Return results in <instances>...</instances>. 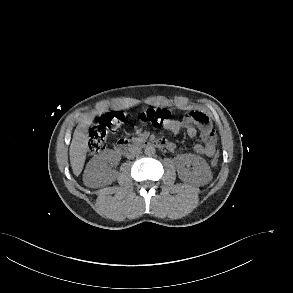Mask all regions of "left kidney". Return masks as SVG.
I'll use <instances>...</instances> for the list:
<instances>
[{"instance_id": "left-kidney-1", "label": "left kidney", "mask_w": 293, "mask_h": 293, "mask_svg": "<svg viewBox=\"0 0 293 293\" xmlns=\"http://www.w3.org/2000/svg\"><path fill=\"white\" fill-rule=\"evenodd\" d=\"M177 172L182 181L205 184L211 179L208 163L200 156L185 153L178 156ZM192 165V170L186 166Z\"/></svg>"}]
</instances>
